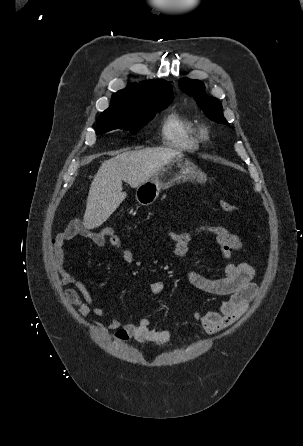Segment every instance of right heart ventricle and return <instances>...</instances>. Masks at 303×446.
<instances>
[{"mask_svg": "<svg viewBox=\"0 0 303 446\" xmlns=\"http://www.w3.org/2000/svg\"><path fill=\"white\" fill-rule=\"evenodd\" d=\"M161 138L164 145L187 151L198 149L201 140L196 123L178 111L164 117Z\"/></svg>", "mask_w": 303, "mask_h": 446, "instance_id": "obj_1", "label": "right heart ventricle"}]
</instances>
